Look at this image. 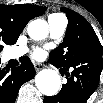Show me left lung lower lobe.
I'll use <instances>...</instances> for the list:
<instances>
[{
    "mask_svg": "<svg viewBox=\"0 0 103 103\" xmlns=\"http://www.w3.org/2000/svg\"><path fill=\"white\" fill-rule=\"evenodd\" d=\"M50 62V61H49ZM51 63V62H50ZM61 68V67H60ZM71 68L72 72L67 71ZM103 68V52L91 51L90 54L75 61L66 72L67 83L55 96H46L44 103H86L96 90Z\"/></svg>",
    "mask_w": 103,
    "mask_h": 103,
    "instance_id": "1",
    "label": "left lung lower lobe"
}]
</instances>
